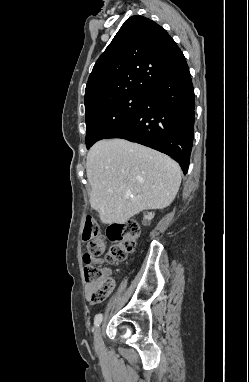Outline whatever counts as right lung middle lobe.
Wrapping results in <instances>:
<instances>
[{
    "instance_id": "dd1d6c3e",
    "label": "right lung middle lobe",
    "mask_w": 249,
    "mask_h": 382,
    "mask_svg": "<svg viewBox=\"0 0 249 382\" xmlns=\"http://www.w3.org/2000/svg\"><path fill=\"white\" fill-rule=\"evenodd\" d=\"M147 99V93H130L115 100L90 106L86 111V147L107 138L132 119Z\"/></svg>"
}]
</instances>
